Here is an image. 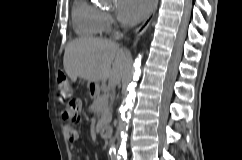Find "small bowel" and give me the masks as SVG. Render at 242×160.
<instances>
[{
    "mask_svg": "<svg viewBox=\"0 0 242 160\" xmlns=\"http://www.w3.org/2000/svg\"><path fill=\"white\" fill-rule=\"evenodd\" d=\"M76 104V109L77 111L80 110V107H79V104L78 102H75ZM70 111V107H67L64 112H63V117L68 119V112ZM67 135H68V138L73 142L77 139L78 135H77V132L71 128V127H67Z\"/></svg>",
    "mask_w": 242,
    "mask_h": 160,
    "instance_id": "1",
    "label": "small bowel"
}]
</instances>
